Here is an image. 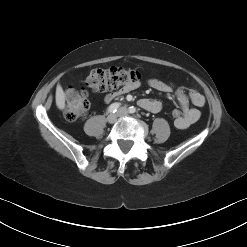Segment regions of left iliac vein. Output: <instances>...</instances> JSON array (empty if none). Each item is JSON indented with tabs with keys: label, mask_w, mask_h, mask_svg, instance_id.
I'll return each mask as SVG.
<instances>
[{
	"label": "left iliac vein",
	"mask_w": 247,
	"mask_h": 247,
	"mask_svg": "<svg viewBox=\"0 0 247 247\" xmlns=\"http://www.w3.org/2000/svg\"><path fill=\"white\" fill-rule=\"evenodd\" d=\"M127 114V109L126 108H120L118 111V116L122 117L125 116Z\"/></svg>",
	"instance_id": "1"
}]
</instances>
